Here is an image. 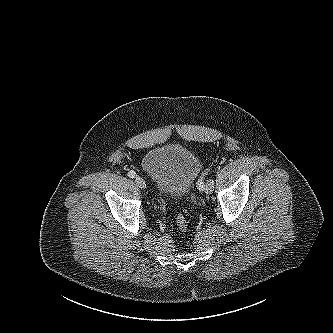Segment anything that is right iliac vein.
Instances as JSON below:
<instances>
[{"mask_svg": "<svg viewBox=\"0 0 333 333\" xmlns=\"http://www.w3.org/2000/svg\"><path fill=\"white\" fill-rule=\"evenodd\" d=\"M135 182L136 184L141 188V189H145L146 188V183L145 180L139 176H136L135 178Z\"/></svg>", "mask_w": 333, "mask_h": 333, "instance_id": "right-iliac-vein-1", "label": "right iliac vein"}]
</instances>
